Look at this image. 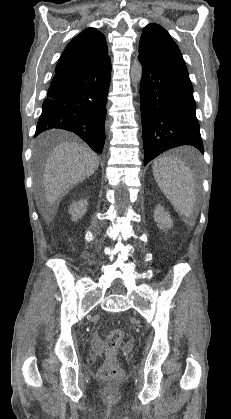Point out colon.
Here are the masks:
<instances>
[{
	"mask_svg": "<svg viewBox=\"0 0 231 419\" xmlns=\"http://www.w3.org/2000/svg\"><path fill=\"white\" fill-rule=\"evenodd\" d=\"M123 339V331L119 328H114L108 333L105 340L107 358L99 371L101 378L111 381L119 376L121 368L117 360V352L122 345Z\"/></svg>",
	"mask_w": 231,
	"mask_h": 419,
	"instance_id": "colon-1",
	"label": "colon"
}]
</instances>
